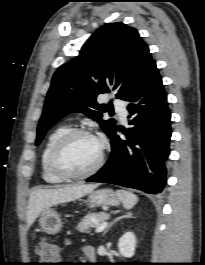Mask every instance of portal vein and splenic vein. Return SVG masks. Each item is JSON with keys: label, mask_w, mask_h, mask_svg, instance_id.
I'll list each match as a JSON object with an SVG mask.
<instances>
[{"label": "portal vein and splenic vein", "mask_w": 205, "mask_h": 265, "mask_svg": "<svg viewBox=\"0 0 205 265\" xmlns=\"http://www.w3.org/2000/svg\"><path fill=\"white\" fill-rule=\"evenodd\" d=\"M107 227V222L104 221L103 223H101L100 225H98L95 229V231L98 233V232H101L103 231L105 228Z\"/></svg>", "instance_id": "portal-vein-and-splenic-vein-1"}]
</instances>
